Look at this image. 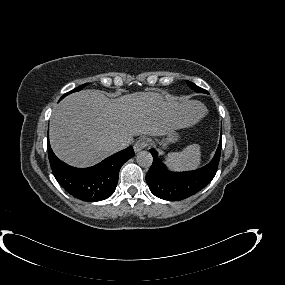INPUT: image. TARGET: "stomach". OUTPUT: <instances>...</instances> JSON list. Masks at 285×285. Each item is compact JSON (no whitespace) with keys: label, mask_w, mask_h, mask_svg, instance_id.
<instances>
[{"label":"stomach","mask_w":285,"mask_h":285,"mask_svg":"<svg viewBox=\"0 0 285 285\" xmlns=\"http://www.w3.org/2000/svg\"><path fill=\"white\" fill-rule=\"evenodd\" d=\"M180 138L178 132L176 131V129L168 132L166 134V137L162 139V141L160 142L162 146L166 147L169 143H174L176 141H178V139Z\"/></svg>","instance_id":"1"}]
</instances>
